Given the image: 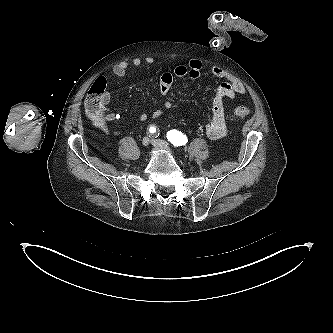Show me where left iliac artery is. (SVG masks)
I'll return each mask as SVG.
<instances>
[{
	"instance_id": "obj_1",
	"label": "left iliac artery",
	"mask_w": 333,
	"mask_h": 333,
	"mask_svg": "<svg viewBox=\"0 0 333 333\" xmlns=\"http://www.w3.org/2000/svg\"><path fill=\"white\" fill-rule=\"evenodd\" d=\"M167 139L174 146H183L188 142L187 136L177 130H170L167 132Z\"/></svg>"
}]
</instances>
